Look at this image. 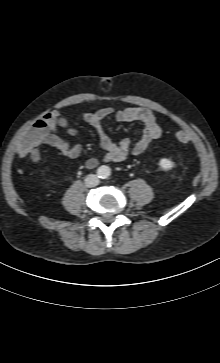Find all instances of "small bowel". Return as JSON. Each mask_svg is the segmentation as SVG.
<instances>
[{
    "label": "small bowel",
    "instance_id": "obj_1",
    "mask_svg": "<svg viewBox=\"0 0 220 363\" xmlns=\"http://www.w3.org/2000/svg\"><path fill=\"white\" fill-rule=\"evenodd\" d=\"M110 115H114L118 121L142 123L141 138L133 145L128 139H123L118 143L114 142L103 126V120ZM82 118L96 130L100 145L105 152L103 156L105 162H121L130 153L133 155L142 154L150 143L162 134V128L153 112L142 107H128L121 110L104 107L93 112H84ZM43 121L45 126L42 128L43 136L40 142L35 143L31 138V134L39 129L34 125L23 138L17 149V154L20 157L29 155L33 162H38L40 159L38 146L44 144L54 147L68 158H78L82 152V145L80 143L70 144L65 138L56 134L57 129L60 128L65 130L69 136L75 137L78 134L77 129L72 127L69 121L58 112H52ZM98 163V159L90 158L85 162V165L87 168H94Z\"/></svg>",
    "mask_w": 220,
    "mask_h": 363
}]
</instances>
